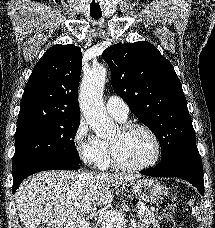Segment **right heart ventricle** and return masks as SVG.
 <instances>
[{
    "label": "right heart ventricle",
    "mask_w": 215,
    "mask_h": 228,
    "mask_svg": "<svg viewBox=\"0 0 215 228\" xmlns=\"http://www.w3.org/2000/svg\"><path fill=\"white\" fill-rule=\"evenodd\" d=\"M116 118V117H115ZM120 121L118 118H116ZM123 122V121H120ZM101 146V156L97 161L98 166L101 168H106L111 164L110 154H109V145L108 142L105 140H99Z\"/></svg>",
    "instance_id": "obj_1"
}]
</instances>
